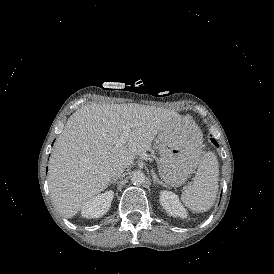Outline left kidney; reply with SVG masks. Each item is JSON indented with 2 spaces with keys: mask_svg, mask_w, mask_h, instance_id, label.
Returning <instances> with one entry per match:
<instances>
[{
  "mask_svg": "<svg viewBox=\"0 0 274 274\" xmlns=\"http://www.w3.org/2000/svg\"><path fill=\"white\" fill-rule=\"evenodd\" d=\"M160 203L162 207L172 216L185 218L187 215L186 210L180 204L178 197L171 192H161Z\"/></svg>",
  "mask_w": 274,
  "mask_h": 274,
  "instance_id": "obj_1",
  "label": "left kidney"
}]
</instances>
